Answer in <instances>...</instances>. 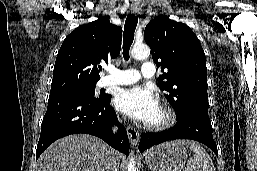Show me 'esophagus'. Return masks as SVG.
<instances>
[{
    "label": "esophagus",
    "mask_w": 257,
    "mask_h": 171,
    "mask_svg": "<svg viewBox=\"0 0 257 171\" xmlns=\"http://www.w3.org/2000/svg\"><path fill=\"white\" fill-rule=\"evenodd\" d=\"M131 12L135 15L139 14L140 12V5L139 3H132L131 4ZM127 135L129 138V141L132 146H136L139 141V133L138 131L133 128L132 126L127 127Z\"/></svg>",
    "instance_id": "1"
}]
</instances>
